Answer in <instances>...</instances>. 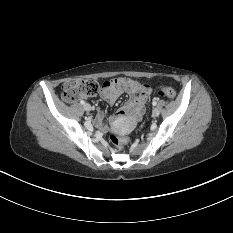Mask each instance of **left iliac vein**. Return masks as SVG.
Listing matches in <instances>:
<instances>
[{"label":"left iliac vein","instance_id":"4c4485c4","mask_svg":"<svg viewBox=\"0 0 233 233\" xmlns=\"http://www.w3.org/2000/svg\"><path fill=\"white\" fill-rule=\"evenodd\" d=\"M160 114V110L158 108H154L152 111V116L153 117H158Z\"/></svg>","mask_w":233,"mask_h":233}]
</instances>
